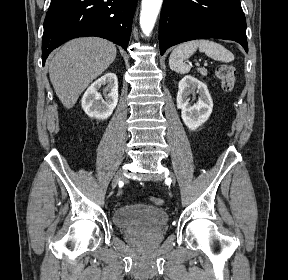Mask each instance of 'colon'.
Here are the masks:
<instances>
[{"label":"colon","mask_w":288,"mask_h":280,"mask_svg":"<svg viewBox=\"0 0 288 280\" xmlns=\"http://www.w3.org/2000/svg\"><path fill=\"white\" fill-rule=\"evenodd\" d=\"M216 75L221 82L222 89L225 92H230L233 90L235 85V70L231 65H220L216 69ZM151 201L157 206H161L163 204V199L158 197H151Z\"/></svg>","instance_id":"5ec220e1"}]
</instances>
